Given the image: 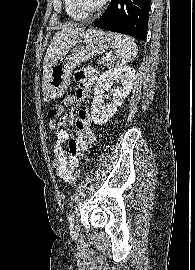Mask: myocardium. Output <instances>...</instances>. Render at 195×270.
Instances as JSON below:
<instances>
[{
	"label": "myocardium",
	"instance_id": "obj_1",
	"mask_svg": "<svg viewBox=\"0 0 195 270\" xmlns=\"http://www.w3.org/2000/svg\"><path fill=\"white\" fill-rule=\"evenodd\" d=\"M109 0H101L100 3L92 10L90 11H83L81 10L78 5L76 0H70V5L72 7V9L79 14L80 16L86 18L95 16L96 14H98L104 7L105 5L108 3Z\"/></svg>",
	"mask_w": 195,
	"mask_h": 270
}]
</instances>
